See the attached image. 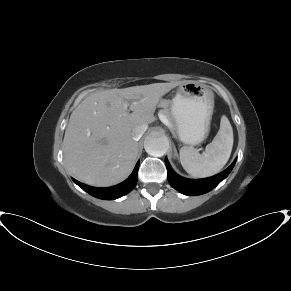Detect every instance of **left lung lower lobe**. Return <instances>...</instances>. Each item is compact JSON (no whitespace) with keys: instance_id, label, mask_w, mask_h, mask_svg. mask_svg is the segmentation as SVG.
Returning <instances> with one entry per match:
<instances>
[{"instance_id":"1","label":"left lung lower lobe","mask_w":291,"mask_h":291,"mask_svg":"<svg viewBox=\"0 0 291 291\" xmlns=\"http://www.w3.org/2000/svg\"><path fill=\"white\" fill-rule=\"evenodd\" d=\"M234 161L226 170L219 173L218 175H215L213 177L205 178V179H199V180H193V179H187L179 176L174 172V170L171 168L167 158H165V164L167 167V174H168V181L170 185L185 195H201L204 193H207L211 191L213 188H215L223 179H225L231 170L233 169L235 165Z\"/></svg>"}]
</instances>
